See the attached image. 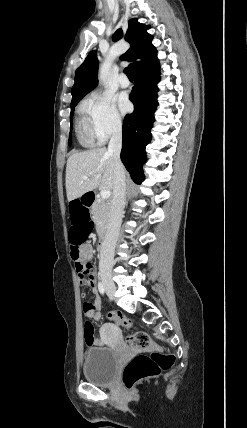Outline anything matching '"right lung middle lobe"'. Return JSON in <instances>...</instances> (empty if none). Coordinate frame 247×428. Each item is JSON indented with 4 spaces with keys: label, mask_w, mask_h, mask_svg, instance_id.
I'll list each match as a JSON object with an SVG mask.
<instances>
[{
    "label": "right lung middle lobe",
    "mask_w": 247,
    "mask_h": 428,
    "mask_svg": "<svg viewBox=\"0 0 247 428\" xmlns=\"http://www.w3.org/2000/svg\"><path fill=\"white\" fill-rule=\"evenodd\" d=\"M77 105V103H75V104H73V105H71V113H70V122H71V125H70V130H71V128H72V118H73V113H74V109H75V106ZM71 144V136H70V138H69V145Z\"/></svg>",
    "instance_id": "dd1d6c3e"
}]
</instances>
